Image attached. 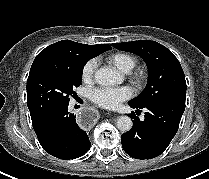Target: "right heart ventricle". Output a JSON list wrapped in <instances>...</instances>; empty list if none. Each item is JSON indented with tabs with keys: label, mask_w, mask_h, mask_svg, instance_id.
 Instances as JSON below:
<instances>
[{
	"label": "right heart ventricle",
	"mask_w": 209,
	"mask_h": 179,
	"mask_svg": "<svg viewBox=\"0 0 209 179\" xmlns=\"http://www.w3.org/2000/svg\"><path fill=\"white\" fill-rule=\"evenodd\" d=\"M107 62L123 73L130 72L136 64V58L125 52H116L107 57Z\"/></svg>",
	"instance_id": "obj_1"
}]
</instances>
